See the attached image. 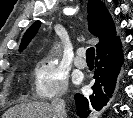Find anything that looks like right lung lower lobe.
<instances>
[{
	"mask_svg": "<svg viewBox=\"0 0 133 118\" xmlns=\"http://www.w3.org/2000/svg\"><path fill=\"white\" fill-rule=\"evenodd\" d=\"M96 69L92 86L93 94L84 97L82 94L74 96L77 113L80 118H87L89 107L101 110L112 97L117 76L123 63L122 45L119 37L108 46L97 51Z\"/></svg>",
	"mask_w": 133,
	"mask_h": 118,
	"instance_id": "obj_1",
	"label": "right lung lower lobe"
}]
</instances>
